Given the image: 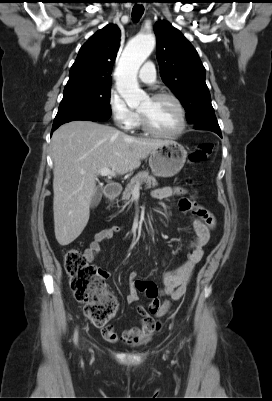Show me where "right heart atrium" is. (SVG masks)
<instances>
[{
  "mask_svg": "<svg viewBox=\"0 0 272 401\" xmlns=\"http://www.w3.org/2000/svg\"><path fill=\"white\" fill-rule=\"evenodd\" d=\"M107 105L113 120L120 128L130 130L134 127L138 114L128 107L117 91L109 92Z\"/></svg>",
  "mask_w": 272,
  "mask_h": 401,
  "instance_id": "right-heart-atrium-1",
  "label": "right heart atrium"
}]
</instances>
